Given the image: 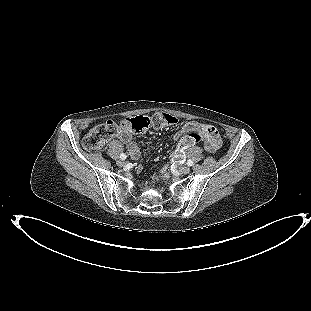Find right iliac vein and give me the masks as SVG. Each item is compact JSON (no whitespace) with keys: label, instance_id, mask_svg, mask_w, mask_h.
Returning <instances> with one entry per match:
<instances>
[{"label":"right iliac vein","instance_id":"right-iliac-vein-1","mask_svg":"<svg viewBox=\"0 0 311 311\" xmlns=\"http://www.w3.org/2000/svg\"><path fill=\"white\" fill-rule=\"evenodd\" d=\"M117 164H118L120 167H122V166H124L126 163H125L123 160H119V161L117 162Z\"/></svg>","mask_w":311,"mask_h":311}]
</instances>
